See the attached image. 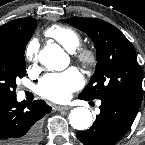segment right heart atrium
Here are the masks:
<instances>
[{"mask_svg":"<svg viewBox=\"0 0 145 145\" xmlns=\"http://www.w3.org/2000/svg\"><path fill=\"white\" fill-rule=\"evenodd\" d=\"M39 44L36 40L31 41L25 50V58L27 62L32 63L37 60Z\"/></svg>","mask_w":145,"mask_h":145,"instance_id":"right-heart-atrium-1","label":"right heart atrium"}]
</instances>
